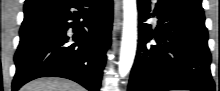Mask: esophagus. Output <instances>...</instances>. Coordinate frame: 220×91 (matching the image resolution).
Instances as JSON below:
<instances>
[{
    "mask_svg": "<svg viewBox=\"0 0 220 91\" xmlns=\"http://www.w3.org/2000/svg\"><path fill=\"white\" fill-rule=\"evenodd\" d=\"M120 27V1H117L116 11H115V29H119Z\"/></svg>",
    "mask_w": 220,
    "mask_h": 91,
    "instance_id": "34e87169",
    "label": "esophagus"
}]
</instances>
